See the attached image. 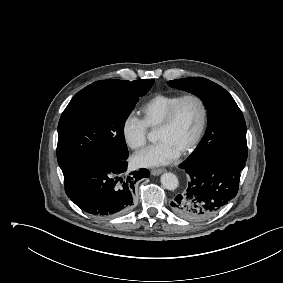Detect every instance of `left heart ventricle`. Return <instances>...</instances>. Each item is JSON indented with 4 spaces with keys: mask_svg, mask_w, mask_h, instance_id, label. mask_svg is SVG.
I'll list each match as a JSON object with an SVG mask.
<instances>
[{
    "mask_svg": "<svg viewBox=\"0 0 283 283\" xmlns=\"http://www.w3.org/2000/svg\"><path fill=\"white\" fill-rule=\"evenodd\" d=\"M200 117L198 103L192 99L185 101L177 113L174 124L169 129L157 131V140L167 141L181 152L195 136Z\"/></svg>",
    "mask_w": 283,
    "mask_h": 283,
    "instance_id": "obj_1",
    "label": "left heart ventricle"
}]
</instances>
